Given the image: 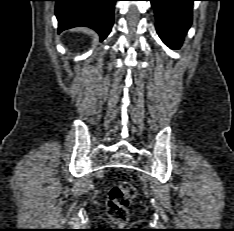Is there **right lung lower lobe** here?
Wrapping results in <instances>:
<instances>
[{
	"mask_svg": "<svg viewBox=\"0 0 234 231\" xmlns=\"http://www.w3.org/2000/svg\"><path fill=\"white\" fill-rule=\"evenodd\" d=\"M58 32L76 26L94 29L105 39L111 31L117 0H54Z\"/></svg>",
	"mask_w": 234,
	"mask_h": 231,
	"instance_id": "1",
	"label": "right lung lower lobe"
}]
</instances>
